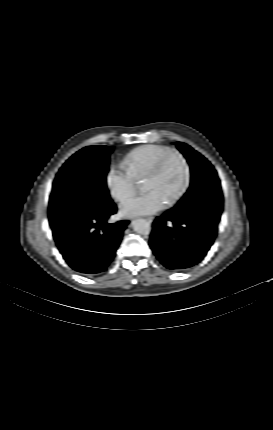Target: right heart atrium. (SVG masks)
Wrapping results in <instances>:
<instances>
[{"label": "right heart atrium", "mask_w": 273, "mask_h": 430, "mask_svg": "<svg viewBox=\"0 0 273 430\" xmlns=\"http://www.w3.org/2000/svg\"><path fill=\"white\" fill-rule=\"evenodd\" d=\"M105 181L110 195L119 203L129 199L137 186L135 177L121 164H113L109 167Z\"/></svg>", "instance_id": "1"}]
</instances>
